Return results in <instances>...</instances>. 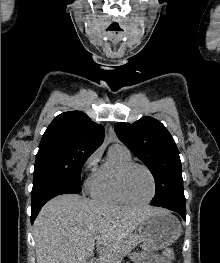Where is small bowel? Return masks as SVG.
I'll return each mask as SVG.
<instances>
[{
    "label": "small bowel",
    "mask_w": 220,
    "mask_h": 263,
    "mask_svg": "<svg viewBox=\"0 0 220 263\" xmlns=\"http://www.w3.org/2000/svg\"><path fill=\"white\" fill-rule=\"evenodd\" d=\"M141 263H168L163 257L155 254H149L142 258Z\"/></svg>",
    "instance_id": "1"
}]
</instances>
